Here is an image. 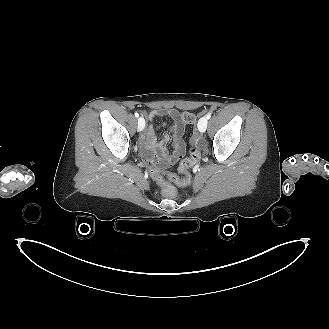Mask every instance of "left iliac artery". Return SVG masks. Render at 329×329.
I'll return each mask as SVG.
<instances>
[{"label":"left iliac artery","instance_id":"left-iliac-artery-1","mask_svg":"<svg viewBox=\"0 0 329 329\" xmlns=\"http://www.w3.org/2000/svg\"><path fill=\"white\" fill-rule=\"evenodd\" d=\"M206 118H207V119H210V118H211V113H208V114L206 115Z\"/></svg>","mask_w":329,"mask_h":329}]
</instances>
